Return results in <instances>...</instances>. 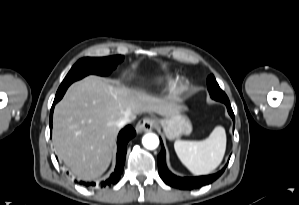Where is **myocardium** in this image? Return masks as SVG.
I'll return each mask as SVG.
<instances>
[{
  "instance_id": "1",
  "label": "myocardium",
  "mask_w": 299,
  "mask_h": 205,
  "mask_svg": "<svg viewBox=\"0 0 299 205\" xmlns=\"http://www.w3.org/2000/svg\"><path fill=\"white\" fill-rule=\"evenodd\" d=\"M185 89H186V85L182 81H179L173 85L172 93L174 95H178L181 94Z\"/></svg>"
}]
</instances>
